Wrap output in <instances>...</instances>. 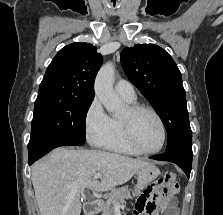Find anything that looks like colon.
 I'll list each match as a JSON object with an SVG mask.
<instances>
[{
    "instance_id": "1",
    "label": "colon",
    "mask_w": 223,
    "mask_h": 215,
    "mask_svg": "<svg viewBox=\"0 0 223 215\" xmlns=\"http://www.w3.org/2000/svg\"><path fill=\"white\" fill-rule=\"evenodd\" d=\"M164 178L167 182L171 183V182H175L176 181V174L174 172L171 171H167L164 174Z\"/></svg>"
}]
</instances>
